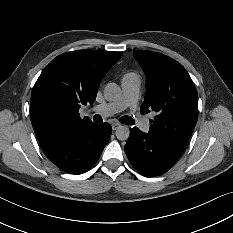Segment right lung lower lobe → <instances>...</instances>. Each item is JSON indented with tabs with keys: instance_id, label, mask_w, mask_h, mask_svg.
Here are the masks:
<instances>
[{
	"instance_id": "right-lung-lower-lobe-1",
	"label": "right lung lower lobe",
	"mask_w": 233,
	"mask_h": 233,
	"mask_svg": "<svg viewBox=\"0 0 233 233\" xmlns=\"http://www.w3.org/2000/svg\"><path fill=\"white\" fill-rule=\"evenodd\" d=\"M111 132L112 128L107 122L93 124L41 147L46 156L61 170L82 174L97 162Z\"/></svg>"
}]
</instances>
